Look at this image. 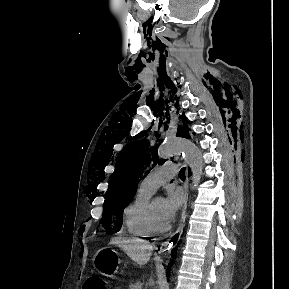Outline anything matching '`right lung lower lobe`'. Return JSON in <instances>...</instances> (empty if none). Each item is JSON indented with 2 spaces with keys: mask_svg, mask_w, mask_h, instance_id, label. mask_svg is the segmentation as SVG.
Instances as JSON below:
<instances>
[{
  "mask_svg": "<svg viewBox=\"0 0 289 289\" xmlns=\"http://www.w3.org/2000/svg\"><path fill=\"white\" fill-rule=\"evenodd\" d=\"M173 257V259L175 258V256H172ZM173 260H171V262H172ZM172 266V263H170V266L169 267H171ZM169 271V270H168Z\"/></svg>",
  "mask_w": 289,
  "mask_h": 289,
  "instance_id": "right-lung-lower-lobe-1",
  "label": "right lung lower lobe"
}]
</instances>
